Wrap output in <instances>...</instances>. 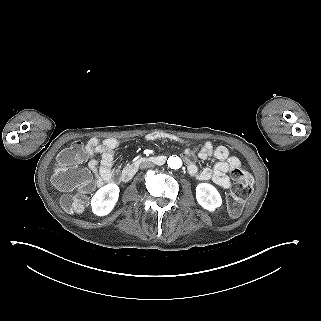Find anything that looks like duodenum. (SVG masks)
Returning <instances> with one entry per match:
<instances>
[{"label": "duodenum", "mask_w": 321, "mask_h": 321, "mask_svg": "<svg viewBox=\"0 0 321 321\" xmlns=\"http://www.w3.org/2000/svg\"><path fill=\"white\" fill-rule=\"evenodd\" d=\"M165 161H166V158L165 156H162V155L143 156V157L137 158L136 160H134L132 163H130L128 166H126L123 169L121 173V179L123 181L131 180L142 163H153L156 165H162L165 163Z\"/></svg>", "instance_id": "1"}]
</instances>
